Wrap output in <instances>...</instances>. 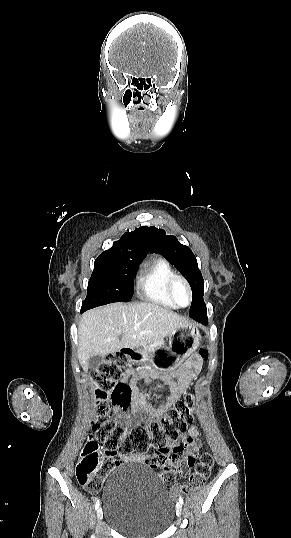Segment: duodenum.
Segmentation results:
<instances>
[{
	"label": "duodenum",
	"instance_id": "410a0bca",
	"mask_svg": "<svg viewBox=\"0 0 291 538\" xmlns=\"http://www.w3.org/2000/svg\"><path fill=\"white\" fill-rule=\"evenodd\" d=\"M126 353H127V355H128L129 357H131V358H137V357L140 356V353L137 352V351H135V350H133V349H127V352H126Z\"/></svg>",
	"mask_w": 291,
	"mask_h": 538
}]
</instances>
